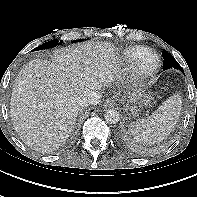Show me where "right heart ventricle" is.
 Listing matches in <instances>:
<instances>
[{
    "mask_svg": "<svg viewBox=\"0 0 197 197\" xmlns=\"http://www.w3.org/2000/svg\"><path fill=\"white\" fill-rule=\"evenodd\" d=\"M149 52L150 49L145 46H131L123 51L120 62L126 67H134Z\"/></svg>",
    "mask_w": 197,
    "mask_h": 197,
    "instance_id": "obj_1",
    "label": "right heart ventricle"
}]
</instances>
